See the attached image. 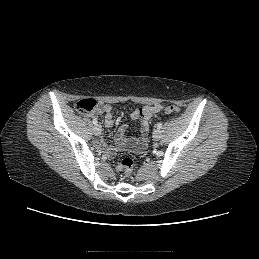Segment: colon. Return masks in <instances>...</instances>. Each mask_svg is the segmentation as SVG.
<instances>
[{
    "mask_svg": "<svg viewBox=\"0 0 259 259\" xmlns=\"http://www.w3.org/2000/svg\"><path fill=\"white\" fill-rule=\"evenodd\" d=\"M99 108V104L92 98L82 99L77 102L76 110L83 114H91ZM163 112L168 115H178L180 109L177 106L167 105L163 107ZM134 162L130 157L123 158L117 165L116 170L125 179H129L133 173Z\"/></svg>",
    "mask_w": 259,
    "mask_h": 259,
    "instance_id": "colon-1",
    "label": "colon"
}]
</instances>
